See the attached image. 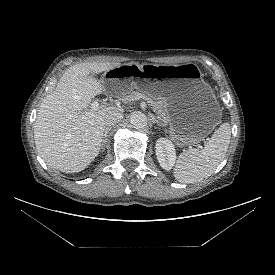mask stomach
Listing matches in <instances>:
<instances>
[{
  "label": "stomach",
  "mask_w": 275,
  "mask_h": 275,
  "mask_svg": "<svg viewBox=\"0 0 275 275\" xmlns=\"http://www.w3.org/2000/svg\"><path fill=\"white\" fill-rule=\"evenodd\" d=\"M104 88L117 95L133 89L167 103L170 137L178 146L195 145L219 124L222 113L211 86L194 63H128L105 71Z\"/></svg>",
  "instance_id": "1"
}]
</instances>
